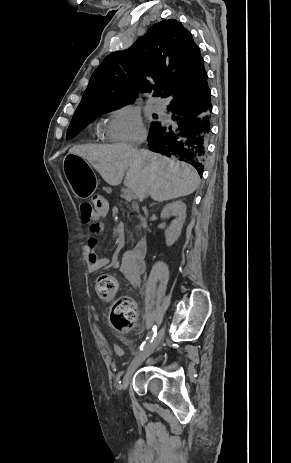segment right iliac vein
<instances>
[{"instance_id": "obj_1", "label": "right iliac vein", "mask_w": 291, "mask_h": 463, "mask_svg": "<svg viewBox=\"0 0 291 463\" xmlns=\"http://www.w3.org/2000/svg\"><path fill=\"white\" fill-rule=\"evenodd\" d=\"M163 337V330H160L152 342L145 345L142 351H140L128 366L123 379V389L128 387V384L136 371V369L143 363V361L149 357L153 351L159 346Z\"/></svg>"}]
</instances>
